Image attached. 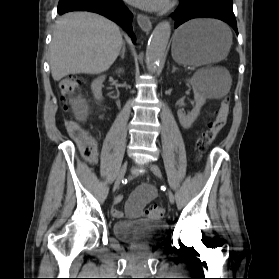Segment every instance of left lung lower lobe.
I'll return each mask as SVG.
<instances>
[{"label": "left lung lower lobe", "instance_id": "1", "mask_svg": "<svg viewBox=\"0 0 279 279\" xmlns=\"http://www.w3.org/2000/svg\"><path fill=\"white\" fill-rule=\"evenodd\" d=\"M174 27L193 18H216L228 23L238 34L232 0H180L176 9Z\"/></svg>", "mask_w": 279, "mask_h": 279}]
</instances>
